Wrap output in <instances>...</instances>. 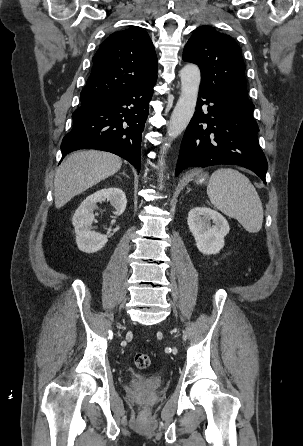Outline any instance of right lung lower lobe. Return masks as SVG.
<instances>
[{
    "instance_id": "98d812e1",
    "label": "right lung lower lobe",
    "mask_w": 303,
    "mask_h": 446,
    "mask_svg": "<svg viewBox=\"0 0 303 446\" xmlns=\"http://www.w3.org/2000/svg\"><path fill=\"white\" fill-rule=\"evenodd\" d=\"M155 81L81 103L73 128L62 140V157L80 149L114 153L140 171L141 136Z\"/></svg>"
}]
</instances>
